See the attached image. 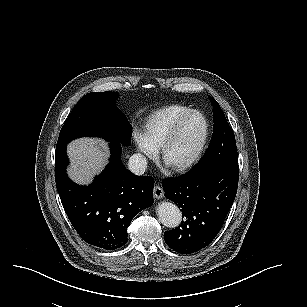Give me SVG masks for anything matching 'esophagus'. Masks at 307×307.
<instances>
[{
    "label": "esophagus",
    "mask_w": 307,
    "mask_h": 307,
    "mask_svg": "<svg viewBox=\"0 0 307 307\" xmlns=\"http://www.w3.org/2000/svg\"><path fill=\"white\" fill-rule=\"evenodd\" d=\"M153 195L156 199L163 198L164 196L163 189L160 186L156 185L153 189Z\"/></svg>",
    "instance_id": "1"
}]
</instances>
